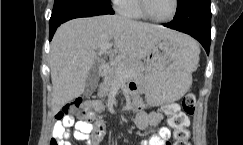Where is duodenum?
<instances>
[{
	"mask_svg": "<svg viewBox=\"0 0 243 145\" xmlns=\"http://www.w3.org/2000/svg\"><path fill=\"white\" fill-rule=\"evenodd\" d=\"M108 71V66L107 65H102L99 69L100 75H105Z\"/></svg>",
	"mask_w": 243,
	"mask_h": 145,
	"instance_id": "1",
	"label": "duodenum"
}]
</instances>
